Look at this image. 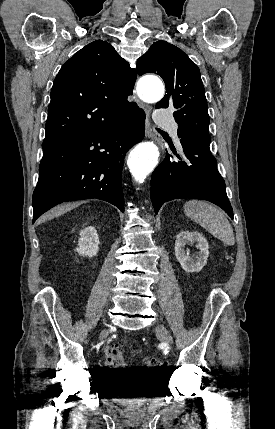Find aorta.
Returning a JSON list of instances; mask_svg holds the SVG:
<instances>
[{
	"instance_id": "obj_1",
	"label": "aorta",
	"mask_w": 275,
	"mask_h": 429,
	"mask_svg": "<svg viewBox=\"0 0 275 429\" xmlns=\"http://www.w3.org/2000/svg\"><path fill=\"white\" fill-rule=\"evenodd\" d=\"M164 85L157 77L143 78L139 83V96L142 100L154 103L162 99ZM159 151L153 142H143L131 152L128 165L134 179L142 183L158 163Z\"/></svg>"
}]
</instances>
